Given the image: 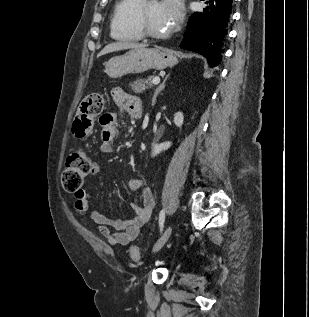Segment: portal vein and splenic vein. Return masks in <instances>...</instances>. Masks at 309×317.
Here are the masks:
<instances>
[{"label":"portal vein and splenic vein","mask_w":309,"mask_h":317,"mask_svg":"<svg viewBox=\"0 0 309 317\" xmlns=\"http://www.w3.org/2000/svg\"><path fill=\"white\" fill-rule=\"evenodd\" d=\"M159 83H160V78H159V77L153 78L152 84L157 85V84H159Z\"/></svg>","instance_id":"1"}]
</instances>
